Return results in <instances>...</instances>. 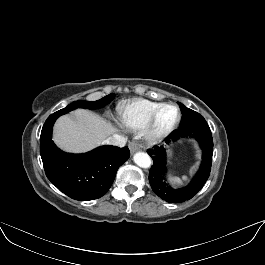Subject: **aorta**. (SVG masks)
Returning a JSON list of instances; mask_svg holds the SVG:
<instances>
[{
  "mask_svg": "<svg viewBox=\"0 0 265 265\" xmlns=\"http://www.w3.org/2000/svg\"><path fill=\"white\" fill-rule=\"evenodd\" d=\"M134 162L141 168H149L152 164V160L147 153L138 152L133 157Z\"/></svg>",
  "mask_w": 265,
  "mask_h": 265,
  "instance_id": "762f6f07",
  "label": "aorta"
}]
</instances>
